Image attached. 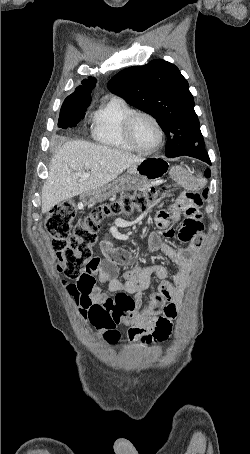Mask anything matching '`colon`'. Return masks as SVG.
<instances>
[{
  "mask_svg": "<svg viewBox=\"0 0 250 454\" xmlns=\"http://www.w3.org/2000/svg\"><path fill=\"white\" fill-rule=\"evenodd\" d=\"M209 177V172L203 173ZM160 191L150 188L133 194H123L112 202L94 208L73 227L76 207L73 200L57 203L50 210L45 221V228L52 239V247L56 253L57 269L66 278H78L94 259L97 244V233L102 220L108 216L129 214L143 211L154 204ZM66 289L75 302H79V290L75 283H67ZM91 324L99 330L108 342H116L120 338L117 325L120 320L111 314L103 305H91L87 312Z\"/></svg>",
  "mask_w": 250,
  "mask_h": 454,
  "instance_id": "obj_1",
  "label": "colon"
}]
</instances>
